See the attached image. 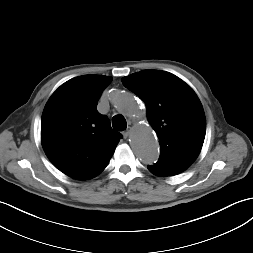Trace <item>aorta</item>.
<instances>
[{"label": "aorta", "instance_id": "obj_1", "mask_svg": "<svg viewBox=\"0 0 253 253\" xmlns=\"http://www.w3.org/2000/svg\"><path fill=\"white\" fill-rule=\"evenodd\" d=\"M111 100L118 112L128 117L137 115L138 105L130 93L116 91L112 94ZM131 144L133 151L143 163L151 164L158 159L159 143L149 125L142 123L134 127Z\"/></svg>", "mask_w": 253, "mask_h": 253}]
</instances>
